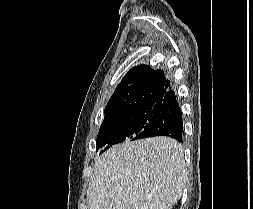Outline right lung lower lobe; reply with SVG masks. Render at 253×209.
I'll use <instances>...</instances> for the list:
<instances>
[{
  "instance_id": "98d812e1",
  "label": "right lung lower lobe",
  "mask_w": 253,
  "mask_h": 209,
  "mask_svg": "<svg viewBox=\"0 0 253 209\" xmlns=\"http://www.w3.org/2000/svg\"><path fill=\"white\" fill-rule=\"evenodd\" d=\"M158 111L155 123L139 134L141 138L168 136L183 142V119L175 92L171 89L152 106Z\"/></svg>"
}]
</instances>
